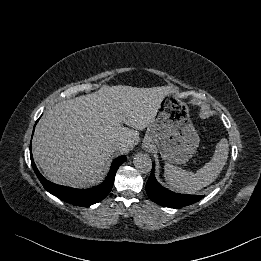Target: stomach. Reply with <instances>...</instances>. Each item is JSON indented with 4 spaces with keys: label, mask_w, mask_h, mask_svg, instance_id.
Segmentation results:
<instances>
[{
    "label": "stomach",
    "mask_w": 261,
    "mask_h": 261,
    "mask_svg": "<svg viewBox=\"0 0 261 261\" xmlns=\"http://www.w3.org/2000/svg\"><path fill=\"white\" fill-rule=\"evenodd\" d=\"M199 142L188 105L177 98L175 91L164 96L148 125L143 146H157L164 160L184 164L196 152Z\"/></svg>",
    "instance_id": "1"
}]
</instances>
